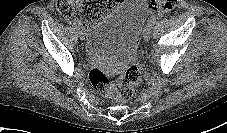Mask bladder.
I'll list each match as a JSON object with an SVG mask.
<instances>
[{"label": "bladder", "instance_id": "obj_1", "mask_svg": "<svg viewBox=\"0 0 227 133\" xmlns=\"http://www.w3.org/2000/svg\"><path fill=\"white\" fill-rule=\"evenodd\" d=\"M148 13L147 0H125L92 28L85 53L110 59H130Z\"/></svg>", "mask_w": 227, "mask_h": 133}]
</instances>
